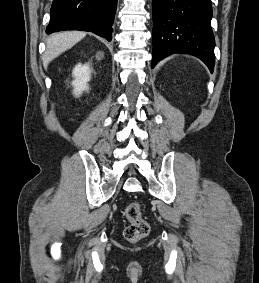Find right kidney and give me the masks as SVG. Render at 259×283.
I'll list each match as a JSON object with an SVG mask.
<instances>
[{
	"instance_id": "obj_1",
	"label": "right kidney",
	"mask_w": 259,
	"mask_h": 283,
	"mask_svg": "<svg viewBox=\"0 0 259 283\" xmlns=\"http://www.w3.org/2000/svg\"><path fill=\"white\" fill-rule=\"evenodd\" d=\"M72 75L74 77V80L72 81L73 94L76 97H79L83 91H88V82L91 79V70L89 67V64L82 65L81 63H78L72 72Z\"/></svg>"
}]
</instances>
